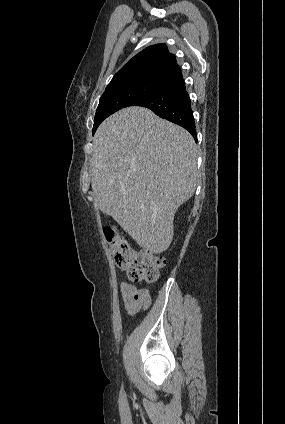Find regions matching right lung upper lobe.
Masks as SVG:
<instances>
[{"instance_id":"obj_1","label":"right lung upper lobe","mask_w":285,"mask_h":424,"mask_svg":"<svg viewBox=\"0 0 285 424\" xmlns=\"http://www.w3.org/2000/svg\"><path fill=\"white\" fill-rule=\"evenodd\" d=\"M180 76L175 56L165 44H156L135 55L114 75L106 89L145 81L165 84Z\"/></svg>"}]
</instances>
